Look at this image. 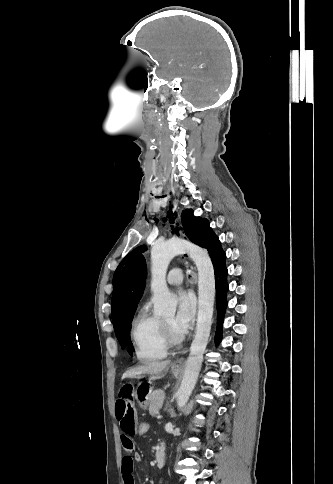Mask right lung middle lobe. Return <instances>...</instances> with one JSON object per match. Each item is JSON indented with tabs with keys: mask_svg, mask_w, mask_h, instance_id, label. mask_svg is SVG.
<instances>
[{
	"mask_svg": "<svg viewBox=\"0 0 333 484\" xmlns=\"http://www.w3.org/2000/svg\"><path fill=\"white\" fill-rule=\"evenodd\" d=\"M133 314L127 317L122 325L117 329L116 336L120 342L122 348L128 347L129 353L132 355L133 346L132 344L129 346L130 342V326Z\"/></svg>",
	"mask_w": 333,
	"mask_h": 484,
	"instance_id": "1",
	"label": "right lung middle lobe"
}]
</instances>
